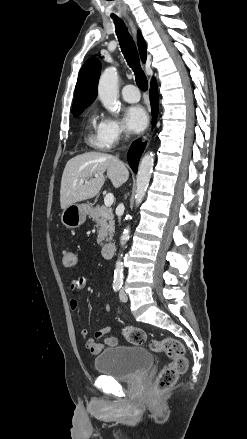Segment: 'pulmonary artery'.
I'll return each instance as SVG.
<instances>
[{"label": "pulmonary artery", "instance_id": "pulmonary-artery-1", "mask_svg": "<svg viewBox=\"0 0 247 439\" xmlns=\"http://www.w3.org/2000/svg\"><path fill=\"white\" fill-rule=\"evenodd\" d=\"M121 94L123 99L130 103L137 102L140 99V93L138 89L132 84L124 86Z\"/></svg>", "mask_w": 247, "mask_h": 439}]
</instances>
